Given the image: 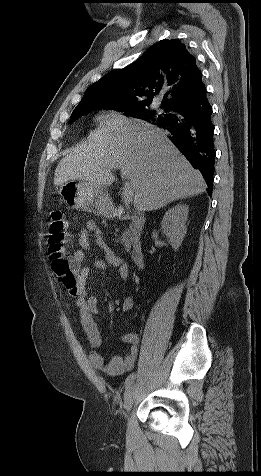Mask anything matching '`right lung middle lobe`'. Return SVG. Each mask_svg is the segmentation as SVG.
<instances>
[{"label": "right lung middle lobe", "mask_w": 261, "mask_h": 476, "mask_svg": "<svg viewBox=\"0 0 261 476\" xmlns=\"http://www.w3.org/2000/svg\"><path fill=\"white\" fill-rule=\"evenodd\" d=\"M148 106L149 105L139 106V107H136V108H127L125 106L105 105V104L84 105V106H80V107H77V108L74 109V111L71 114V121L70 122H73L77 118L85 115L91 109L102 108V107H106V108H111L112 107L115 110L125 112V115H127V116L147 120L149 122H153L157 119L161 120L163 117H165L169 114V113H165V112L162 113V112H157V111H151V110L148 109ZM161 108H163L165 110L171 109V108H168V107H165V106H161Z\"/></svg>", "instance_id": "obj_1"}]
</instances>
